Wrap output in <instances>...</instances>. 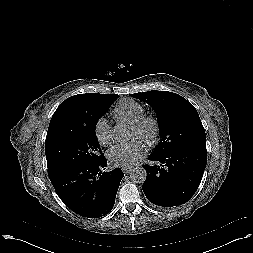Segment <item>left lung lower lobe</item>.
Listing matches in <instances>:
<instances>
[{"mask_svg": "<svg viewBox=\"0 0 253 253\" xmlns=\"http://www.w3.org/2000/svg\"><path fill=\"white\" fill-rule=\"evenodd\" d=\"M144 166L147 177L143 192L158 206L173 207L188 202L198 189L207 164L205 148L175 147L163 154L152 153Z\"/></svg>", "mask_w": 253, "mask_h": 253, "instance_id": "left-lung-lower-lobe-1", "label": "left lung lower lobe"}]
</instances>
